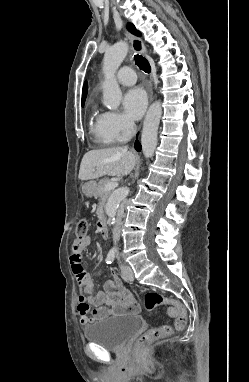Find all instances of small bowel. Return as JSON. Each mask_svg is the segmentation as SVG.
<instances>
[{
    "instance_id": "1",
    "label": "small bowel",
    "mask_w": 249,
    "mask_h": 382,
    "mask_svg": "<svg viewBox=\"0 0 249 382\" xmlns=\"http://www.w3.org/2000/svg\"><path fill=\"white\" fill-rule=\"evenodd\" d=\"M90 242L89 235L82 241L76 239L70 255L71 268L80 292L76 300L77 314L83 326L113 314H125L138 310L133 295L123 286L114 272H112V278L104 284L105 292L94 290L93 282L81 264V253ZM91 306H93L92 316H89Z\"/></svg>"
}]
</instances>
